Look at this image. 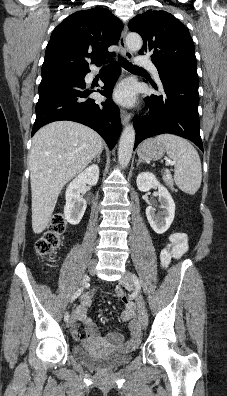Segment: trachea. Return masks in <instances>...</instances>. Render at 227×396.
<instances>
[{
  "instance_id": "trachea-1",
  "label": "trachea",
  "mask_w": 227,
  "mask_h": 396,
  "mask_svg": "<svg viewBox=\"0 0 227 396\" xmlns=\"http://www.w3.org/2000/svg\"><path fill=\"white\" fill-rule=\"evenodd\" d=\"M118 60H119V63L121 64V66L123 68H125L126 70H129V71H145L143 68L131 64L128 60H126L122 56H119Z\"/></svg>"
}]
</instances>
